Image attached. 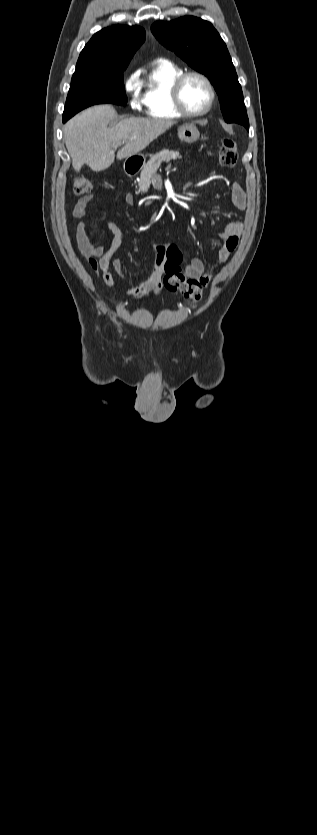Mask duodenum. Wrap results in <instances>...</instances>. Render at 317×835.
Listing matches in <instances>:
<instances>
[{"label":"duodenum","mask_w":317,"mask_h":835,"mask_svg":"<svg viewBox=\"0 0 317 835\" xmlns=\"http://www.w3.org/2000/svg\"><path fill=\"white\" fill-rule=\"evenodd\" d=\"M140 164L134 160H127L125 163V172L128 175H133L139 170Z\"/></svg>","instance_id":"410a0bca"}]
</instances>
